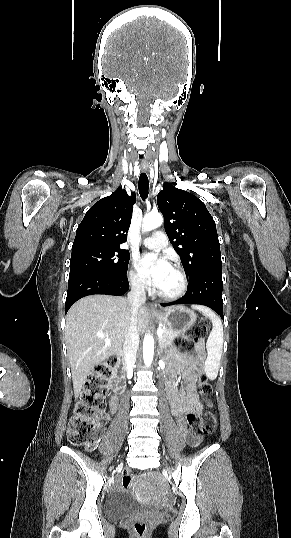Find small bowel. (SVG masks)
Returning a JSON list of instances; mask_svg holds the SVG:
<instances>
[{
	"mask_svg": "<svg viewBox=\"0 0 291 538\" xmlns=\"http://www.w3.org/2000/svg\"><path fill=\"white\" fill-rule=\"evenodd\" d=\"M196 366L192 359L179 355L175 358L166 376L168 397L171 403L172 412L177 417L181 432L186 442L191 447H196L200 443V437L186 430L185 415L190 412L199 413L202 409L196 394L195 382ZM186 383L185 390H178L176 384L178 379ZM117 408L114 398L110 401V410L115 412Z\"/></svg>",
	"mask_w": 291,
	"mask_h": 538,
	"instance_id": "1",
	"label": "small bowel"
}]
</instances>
